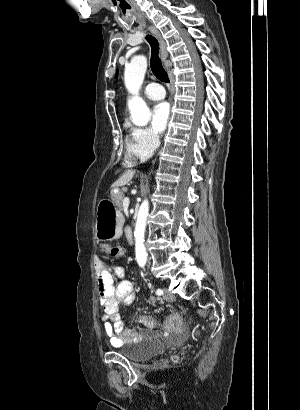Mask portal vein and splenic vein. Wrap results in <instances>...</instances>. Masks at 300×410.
Segmentation results:
<instances>
[{"label": "portal vein and splenic vein", "instance_id": "1", "mask_svg": "<svg viewBox=\"0 0 300 410\" xmlns=\"http://www.w3.org/2000/svg\"><path fill=\"white\" fill-rule=\"evenodd\" d=\"M129 204H130L129 198H128V197H125V198L123 199V207H124V210H127V209H128Z\"/></svg>", "mask_w": 300, "mask_h": 410}]
</instances>
